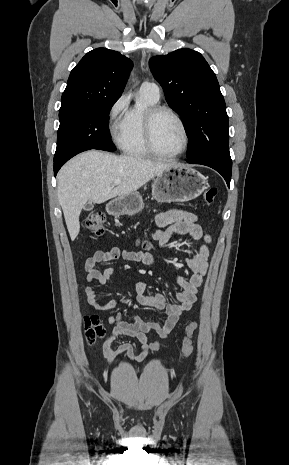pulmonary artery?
Instances as JSON below:
<instances>
[{"label":"pulmonary artery","instance_id":"obj_1","mask_svg":"<svg viewBox=\"0 0 289 465\" xmlns=\"http://www.w3.org/2000/svg\"><path fill=\"white\" fill-rule=\"evenodd\" d=\"M141 90L150 95L153 99L159 100L160 97V91L159 87L157 84L153 82H144L141 85Z\"/></svg>","mask_w":289,"mask_h":465}]
</instances>
